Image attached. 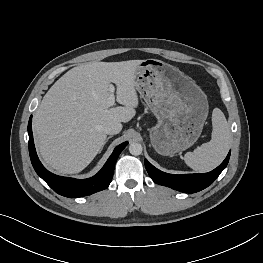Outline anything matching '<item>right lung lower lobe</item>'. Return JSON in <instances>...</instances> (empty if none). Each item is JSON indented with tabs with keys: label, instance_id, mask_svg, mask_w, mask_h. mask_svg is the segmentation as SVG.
Returning a JSON list of instances; mask_svg holds the SVG:
<instances>
[{
	"label": "right lung lower lobe",
	"instance_id": "obj_1",
	"mask_svg": "<svg viewBox=\"0 0 263 263\" xmlns=\"http://www.w3.org/2000/svg\"><path fill=\"white\" fill-rule=\"evenodd\" d=\"M32 116H30L28 123L29 134V154L32 165L36 173L58 194L76 198L91 195L95 192L101 191L107 188L112 180L115 163L119 154L126 147L128 142H124L117 146L103 168L93 177L88 179H74L68 177H61L49 172L41 164L36 154L33 134H32Z\"/></svg>",
	"mask_w": 263,
	"mask_h": 263
}]
</instances>
